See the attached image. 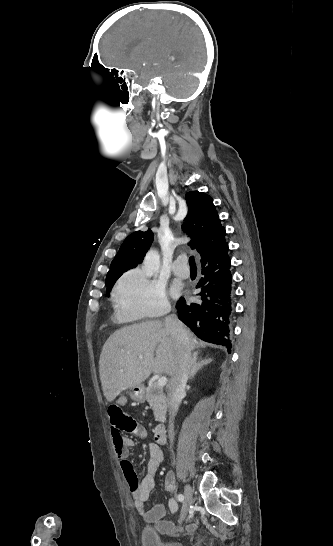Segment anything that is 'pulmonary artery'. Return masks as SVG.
Segmentation results:
<instances>
[{"label": "pulmonary artery", "mask_w": 333, "mask_h": 546, "mask_svg": "<svg viewBox=\"0 0 333 546\" xmlns=\"http://www.w3.org/2000/svg\"><path fill=\"white\" fill-rule=\"evenodd\" d=\"M173 273L181 278H188L190 270L187 265V259L185 257L177 258L172 265Z\"/></svg>", "instance_id": "e3ab8cb5"}]
</instances>
